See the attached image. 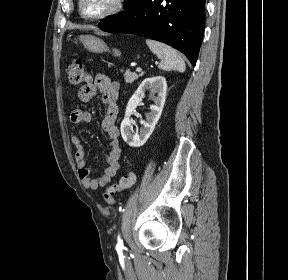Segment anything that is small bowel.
I'll return each instance as SVG.
<instances>
[{
    "label": "small bowel",
    "instance_id": "1",
    "mask_svg": "<svg viewBox=\"0 0 288 280\" xmlns=\"http://www.w3.org/2000/svg\"><path fill=\"white\" fill-rule=\"evenodd\" d=\"M119 84L110 80L108 76L98 73L94 77L93 83L83 85L78 92L82 102H89L98 92L102 96L103 103L106 105L104 117L101 121V127L107 134L108 152L105 153L107 168L98 178L91 176V171L87 166L86 151L81 140L72 135V143L76 148L75 160L77 164L78 176L82 185L86 189L97 190L107 185L120 169V132L116 125L118 116V98ZM92 119L89 111L83 109H74L70 114V121L75 124L88 123Z\"/></svg>",
    "mask_w": 288,
    "mask_h": 280
}]
</instances>
